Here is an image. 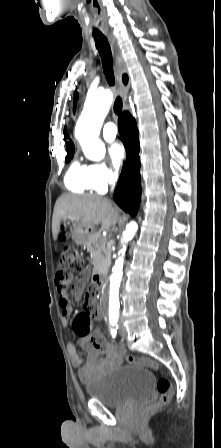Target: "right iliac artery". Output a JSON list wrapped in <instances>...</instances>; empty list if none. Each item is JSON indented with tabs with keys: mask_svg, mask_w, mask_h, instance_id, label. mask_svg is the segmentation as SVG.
<instances>
[{
	"mask_svg": "<svg viewBox=\"0 0 221 448\" xmlns=\"http://www.w3.org/2000/svg\"><path fill=\"white\" fill-rule=\"evenodd\" d=\"M109 321H110V325H111V327L112 328H114V329H118V324H117V322H118V317L116 316H112V317H110L109 318ZM112 332H113V329L111 330Z\"/></svg>",
	"mask_w": 221,
	"mask_h": 448,
	"instance_id": "82829eb1",
	"label": "right iliac artery"
}]
</instances>
